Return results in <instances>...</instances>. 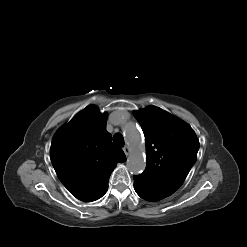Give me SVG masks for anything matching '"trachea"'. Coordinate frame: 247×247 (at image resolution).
<instances>
[{
    "label": "trachea",
    "mask_w": 247,
    "mask_h": 247,
    "mask_svg": "<svg viewBox=\"0 0 247 247\" xmlns=\"http://www.w3.org/2000/svg\"><path fill=\"white\" fill-rule=\"evenodd\" d=\"M113 142L117 146L122 147L124 145V137L120 133H117L113 136Z\"/></svg>",
    "instance_id": "obj_1"
}]
</instances>
